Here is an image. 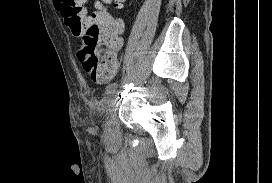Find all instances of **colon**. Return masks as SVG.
I'll use <instances>...</instances> for the list:
<instances>
[{"instance_id": "5ec220e1", "label": "colon", "mask_w": 272, "mask_h": 183, "mask_svg": "<svg viewBox=\"0 0 272 183\" xmlns=\"http://www.w3.org/2000/svg\"><path fill=\"white\" fill-rule=\"evenodd\" d=\"M64 19L73 35L81 38L79 57L84 69L94 78L107 79L116 69V51L121 45L123 25L104 6L119 7L125 0H101L93 10H86L85 0H60Z\"/></svg>"}]
</instances>
